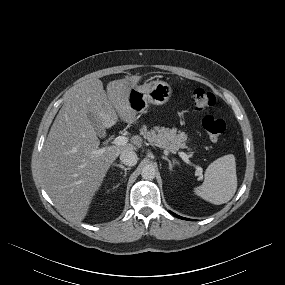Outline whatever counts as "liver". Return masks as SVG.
Listing matches in <instances>:
<instances>
[{"label":"liver","mask_w":285,"mask_h":285,"mask_svg":"<svg viewBox=\"0 0 285 285\" xmlns=\"http://www.w3.org/2000/svg\"><path fill=\"white\" fill-rule=\"evenodd\" d=\"M139 80L132 76L111 81L106 93L101 80L88 79L68 91L41 158L44 187L65 218L81 222L111 164L122 151L142 146V139L136 135L126 145L99 148L97 132L89 119V114L93 115L102 129L111 128L119 118L134 123L136 113L128 94ZM99 149L104 152L97 155Z\"/></svg>","instance_id":"liver-1"}]
</instances>
